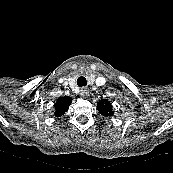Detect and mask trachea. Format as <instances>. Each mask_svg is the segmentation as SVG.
<instances>
[{
    "label": "trachea",
    "mask_w": 173,
    "mask_h": 173,
    "mask_svg": "<svg viewBox=\"0 0 173 173\" xmlns=\"http://www.w3.org/2000/svg\"><path fill=\"white\" fill-rule=\"evenodd\" d=\"M77 85L80 86V87L86 86V85H87L86 78L83 77V76H80V77L77 79Z\"/></svg>",
    "instance_id": "3493384b"
}]
</instances>
